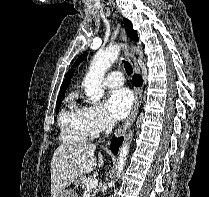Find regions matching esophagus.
I'll return each instance as SVG.
<instances>
[{
  "mask_svg": "<svg viewBox=\"0 0 209 197\" xmlns=\"http://www.w3.org/2000/svg\"><path fill=\"white\" fill-rule=\"evenodd\" d=\"M120 37L125 45V48H124L125 56L127 57L129 62L131 63L135 74H139L138 64L136 62V59L134 58V55L132 53V49L127 42V37L125 35L124 30H121ZM141 98H142V90L138 86L135 88V100H134V104H133L131 113H130L129 117L125 120V122L116 130V132H115L116 136H121L122 134H124L126 132V130L130 127V125L135 121V118L138 114L139 106L141 103Z\"/></svg>",
  "mask_w": 209,
  "mask_h": 197,
  "instance_id": "obj_1",
  "label": "esophagus"
}]
</instances>
